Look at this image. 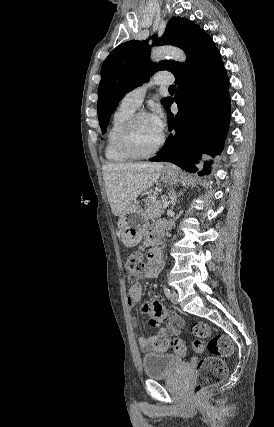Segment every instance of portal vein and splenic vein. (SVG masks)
Segmentation results:
<instances>
[{"label": "portal vein and splenic vein", "mask_w": 274, "mask_h": 427, "mask_svg": "<svg viewBox=\"0 0 274 427\" xmlns=\"http://www.w3.org/2000/svg\"><path fill=\"white\" fill-rule=\"evenodd\" d=\"M168 204H169V202H164L163 208H167Z\"/></svg>", "instance_id": "1"}]
</instances>
